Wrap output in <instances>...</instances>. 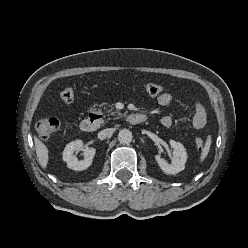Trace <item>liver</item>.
Masks as SVG:
<instances>
[{"mask_svg":"<svg viewBox=\"0 0 248 248\" xmlns=\"http://www.w3.org/2000/svg\"><path fill=\"white\" fill-rule=\"evenodd\" d=\"M34 143L38 162L42 168H46L49 160L48 148L37 137H34Z\"/></svg>","mask_w":248,"mask_h":248,"instance_id":"1","label":"liver"}]
</instances>
